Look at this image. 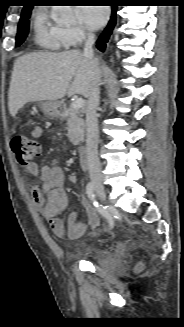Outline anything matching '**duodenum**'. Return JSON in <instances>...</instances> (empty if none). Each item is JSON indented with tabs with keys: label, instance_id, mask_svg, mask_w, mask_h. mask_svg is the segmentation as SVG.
Wrapping results in <instances>:
<instances>
[{
	"label": "duodenum",
	"instance_id": "1",
	"mask_svg": "<svg viewBox=\"0 0 184 327\" xmlns=\"http://www.w3.org/2000/svg\"><path fill=\"white\" fill-rule=\"evenodd\" d=\"M56 111L58 114L60 115H64L65 114V107L63 105H57L56 106ZM79 154H80V161H81V165L86 167L88 165V151L87 148L85 146H80L79 147Z\"/></svg>",
	"mask_w": 184,
	"mask_h": 327
}]
</instances>
